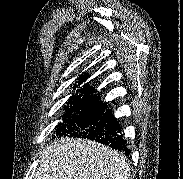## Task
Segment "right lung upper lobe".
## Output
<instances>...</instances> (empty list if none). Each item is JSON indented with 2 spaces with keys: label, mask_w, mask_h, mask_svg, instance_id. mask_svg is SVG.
I'll return each instance as SVG.
<instances>
[{
  "label": "right lung upper lobe",
  "mask_w": 183,
  "mask_h": 179,
  "mask_svg": "<svg viewBox=\"0 0 183 179\" xmlns=\"http://www.w3.org/2000/svg\"><path fill=\"white\" fill-rule=\"evenodd\" d=\"M88 76L89 75L84 72V74H82L79 77L78 85H80L81 83L85 82V80H86V78ZM78 85H75L74 89L78 88ZM95 92H96L95 88L94 87H90V85L88 83H86L83 87H80L78 90H76V94H73L70 97V100H77V99L88 98V97H99L97 95H94V96L92 95Z\"/></svg>",
  "instance_id": "obj_1"
}]
</instances>
